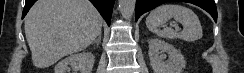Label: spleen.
<instances>
[{"label": "spleen", "mask_w": 244, "mask_h": 73, "mask_svg": "<svg viewBox=\"0 0 244 73\" xmlns=\"http://www.w3.org/2000/svg\"><path fill=\"white\" fill-rule=\"evenodd\" d=\"M171 18L183 25L181 32L166 26V22ZM146 26L157 36L170 40L194 42L203 35L198 16L191 9L178 4H164L152 10L146 18ZM162 26L164 28L161 30Z\"/></svg>", "instance_id": "spleen-1"}]
</instances>
